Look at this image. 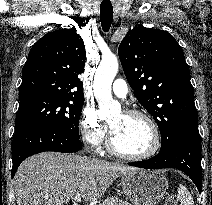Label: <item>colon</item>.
Segmentation results:
<instances>
[{"label": "colon", "instance_id": "colon-1", "mask_svg": "<svg viewBox=\"0 0 212 205\" xmlns=\"http://www.w3.org/2000/svg\"><path fill=\"white\" fill-rule=\"evenodd\" d=\"M164 205H177L176 199L173 195H169L166 199V202Z\"/></svg>", "mask_w": 212, "mask_h": 205}]
</instances>
